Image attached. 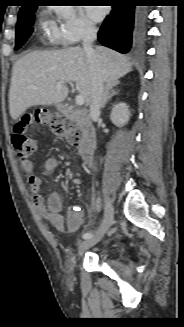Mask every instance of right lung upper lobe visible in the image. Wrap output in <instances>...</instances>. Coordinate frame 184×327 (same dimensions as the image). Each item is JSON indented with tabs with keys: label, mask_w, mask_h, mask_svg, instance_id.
<instances>
[{
	"label": "right lung upper lobe",
	"mask_w": 184,
	"mask_h": 327,
	"mask_svg": "<svg viewBox=\"0 0 184 327\" xmlns=\"http://www.w3.org/2000/svg\"><path fill=\"white\" fill-rule=\"evenodd\" d=\"M23 3H24V5H22L19 12L25 11V10H27L29 8H32V7H36L33 4H31V3H33V0H23Z\"/></svg>",
	"instance_id": "right-lung-upper-lobe-1"
}]
</instances>
